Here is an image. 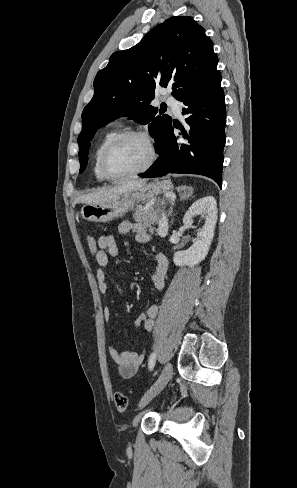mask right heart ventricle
I'll list each match as a JSON object with an SVG mask.
<instances>
[{
  "label": "right heart ventricle",
  "instance_id": "e07e8e85",
  "mask_svg": "<svg viewBox=\"0 0 297 488\" xmlns=\"http://www.w3.org/2000/svg\"><path fill=\"white\" fill-rule=\"evenodd\" d=\"M122 126L120 123H115L109 127L99 138L93 153V172L95 178L102 182L105 181V177L102 175L100 170V157L105 146L117 135L121 133Z\"/></svg>",
  "mask_w": 297,
  "mask_h": 488
}]
</instances>
